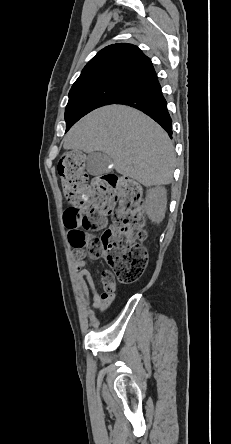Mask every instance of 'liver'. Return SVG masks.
Wrapping results in <instances>:
<instances>
[{
    "label": "liver",
    "mask_w": 231,
    "mask_h": 444,
    "mask_svg": "<svg viewBox=\"0 0 231 444\" xmlns=\"http://www.w3.org/2000/svg\"><path fill=\"white\" fill-rule=\"evenodd\" d=\"M63 141L66 150L109 155L119 174L146 187L172 182L173 143L154 120L132 107L98 108L78 121Z\"/></svg>",
    "instance_id": "1"
}]
</instances>
